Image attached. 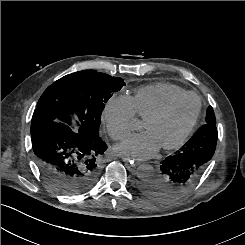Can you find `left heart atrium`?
<instances>
[{"mask_svg": "<svg viewBox=\"0 0 245 245\" xmlns=\"http://www.w3.org/2000/svg\"><path fill=\"white\" fill-rule=\"evenodd\" d=\"M160 146L153 135L145 131L127 137L115 147V150L124 157L144 160L153 156Z\"/></svg>", "mask_w": 245, "mask_h": 245, "instance_id": "1", "label": "left heart atrium"}]
</instances>
